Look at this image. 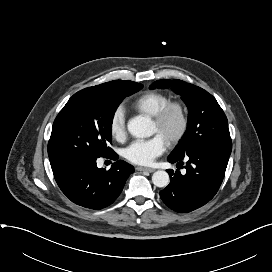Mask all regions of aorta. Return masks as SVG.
<instances>
[{
  "label": "aorta",
  "mask_w": 272,
  "mask_h": 272,
  "mask_svg": "<svg viewBox=\"0 0 272 272\" xmlns=\"http://www.w3.org/2000/svg\"><path fill=\"white\" fill-rule=\"evenodd\" d=\"M127 128L129 133L137 138H146L154 134L152 122L141 116L130 119ZM169 181V175L166 171L159 170L152 175V182L157 187H166L169 184Z\"/></svg>",
  "instance_id": "1"
}]
</instances>
